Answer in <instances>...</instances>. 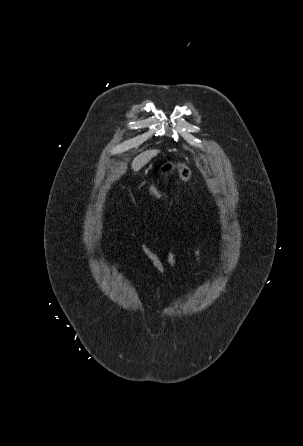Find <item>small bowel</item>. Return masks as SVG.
I'll return each mask as SVG.
<instances>
[{"label": "small bowel", "mask_w": 303, "mask_h": 446, "mask_svg": "<svg viewBox=\"0 0 303 446\" xmlns=\"http://www.w3.org/2000/svg\"><path fill=\"white\" fill-rule=\"evenodd\" d=\"M130 248H136L141 250L144 254L147 255V257L150 259L152 265L154 266V268L156 269V271L163 277L166 278L167 277V273H168V268H175L177 265V250L175 248L171 249L170 253H169V257H168V264L167 266L162 262V260L160 259V257L158 256V254L156 253V251L151 248L150 246H148L145 243H134V244H130L129 245ZM204 253V247L203 245H198L196 250H195V262L198 263L201 261L202 256ZM119 268H120V263H115L112 267H111V271L113 273H117L119 275V277L123 276L122 272H119Z\"/></svg>", "instance_id": "c3829d8e"}]
</instances>
